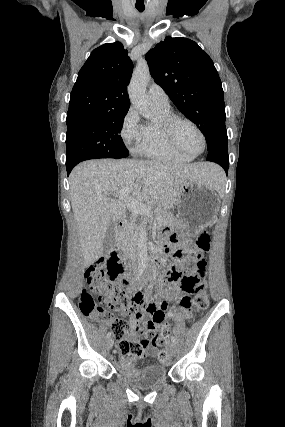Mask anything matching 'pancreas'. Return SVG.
<instances>
[{"label": "pancreas", "mask_w": 285, "mask_h": 427, "mask_svg": "<svg viewBox=\"0 0 285 427\" xmlns=\"http://www.w3.org/2000/svg\"><path fill=\"white\" fill-rule=\"evenodd\" d=\"M158 221H159V226L176 225L175 217L172 215V213H169L166 210H160L158 212ZM136 230H137V226L134 224H131L129 227H127L121 234L120 241L118 244L119 247L126 246V244L134 238L135 236L134 232Z\"/></svg>", "instance_id": "pancreas-1"}]
</instances>
